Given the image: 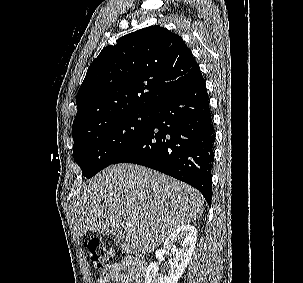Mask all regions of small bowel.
Wrapping results in <instances>:
<instances>
[{"mask_svg":"<svg viewBox=\"0 0 303 283\" xmlns=\"http://www.w3.org/2000/svg\"><path fill=\"white\" fill-rule=\"evenodd\" d=\"M136 261L133 257L126 256L109 264L98 277L97 283H143L144 271L137 267Z\"/></svg>","mask_w":303,"mask_h":283,"instance_id":"c3829d8e","label":"small bowel"}]
</instances>
